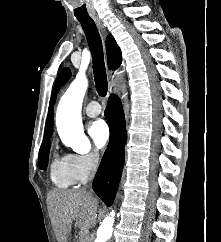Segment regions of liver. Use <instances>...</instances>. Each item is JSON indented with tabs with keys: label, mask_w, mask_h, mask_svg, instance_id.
<instances>
[{
	"label": "liver",
	"mask_w": 221,
	"mask_h": 242,
	"mask_svg": "<svg viewBox=\"0 0 221 242\" xmlns=\"http://www.w3.org/2000/svg\"><path fill=\"white\" fill-rule=\"evenodd\" d=\"M51 223L58 242H67L68 234L75 227L89 229L95 221L98 200L84 189L78 191H51L47 196Z\"/></svg>",
	"instance_id": "6515ba94"
}]
</instances>
